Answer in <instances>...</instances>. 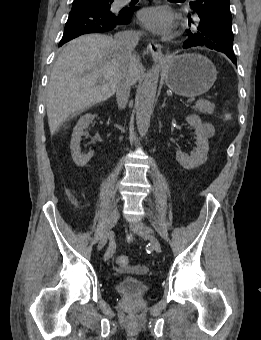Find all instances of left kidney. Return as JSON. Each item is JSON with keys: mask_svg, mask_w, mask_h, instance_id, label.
Instances as JSON below:
<instances>
[{"mask_svg": "<svg viewBox=\"0 0 261 340\" xmlns=\"http://www.w3.org/2000/svg\"><path fill=\"white\" fill-rule=\"evenodd\" d=\"M186 121L196 129L197 148H195V152H192L190 156L183 153L181 150H177L176 159L181 166L190 170L199 167L207 161L209 144L200 117L197 115H190L186 118Z\"/></svg>", "mask_w": 261, "mask_h": 340, "instance_id": "obj_1", "label": "left kidney"}]
</instances>
